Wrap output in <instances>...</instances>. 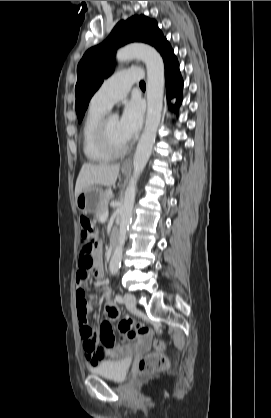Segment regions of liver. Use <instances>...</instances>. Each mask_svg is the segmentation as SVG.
<instances>
[{
    "instance_id": "1",
    "label": "liver",
    "mask_w": 271,
    "mask_h": 418,
    "mask_svg": "<svg viewBox=\"0 0 271 418\" xmlns=\"http://www.w3.org/2000/svg\"><path fill=\"white\" fill-rule=\"evenodd\" d=\"M119 170V164L94 165L90 163H84L76 181L75 197L77 198L82 191L94 185H102L108 187L114 185L117 180Z\"/></svg>"
}]
</instances>
